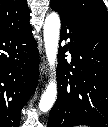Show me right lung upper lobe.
Returning a JSON list of instances; mask_svg holds the SVG:
<instances>
[{"label": "right lung upper lobe", "mask_w": 108, "mask_h": 127, "mask_svg": "<svg viewBox=\"0 0 108 127\" xmlns=\"http://www.w3.org/2000/svg\"><path fill=\"white\" fill-rule=\"evenodd\" d=\"M29 20L26 0H0V35L30 26Z\"/></svg>", "instance_id": "obj_1"}]
</instances>
